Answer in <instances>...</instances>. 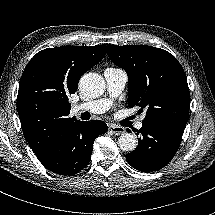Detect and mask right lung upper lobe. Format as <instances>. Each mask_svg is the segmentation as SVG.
I'll list each match as a JSON object with an SVG mask.
<instances>
[{
    "instance_id": "right-lung-upper-lobe-1",
    "label": "right lung upper lobe",
    "mask_w": 215,
    "mask_h": 215,
    "mask_svg": "<svg viewBox=\"0 0 215 215\" xmlns=\"http://www.w3.org/2000/svg\"><path fill=\"white\" fill-rule=\"evenodd\" d=\"M106 54V45L62 46L38 52L20 79L17 110L25 139L41 158L75 118L68 117L80 77Z\"/></svg>"
}]
</instances>
